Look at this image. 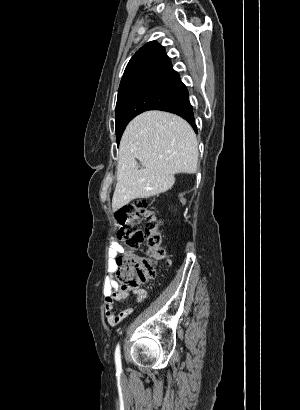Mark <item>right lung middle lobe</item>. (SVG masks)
I'll return each instance as SVG.
<instances>
[{
    "label": "right lung middle lobe",
    "mask_w": 300,
    "mask_h": 410,
    "mask_svg": "<svg viewBox=\"0 0 300 410\" xmlns=\"http://www.w3.org/2000/svg\"><path fill=\"white\" fill-rule=\"evenodd\" d=\"M182 82L138 83L118 92L116 139L119 143L126 125L138 114L158 110L175 101L184 91Z\"/></svg>",
    "instance_id": "obj_1"
}]
</instances>
